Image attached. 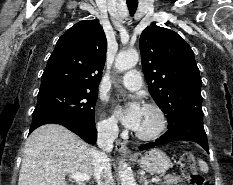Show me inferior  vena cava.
<instances>
[{
  "label": "inferior vena cava",
  "mask_w": 233,
  "mask_h": 185,
  "mask_svg": "<svg viewBox=\"0 0 233 185\" xmlns=\"http://www.w3.org/2000/svg\"><path fill=\"white\" fill-rule=\"evenodd\" d=\"M97 131V144L101 150L93 154L94 177L97 185H114L108 153L113 149V143L118 136V127L113 123L99 126Z\"/></svg>",
  "instance_id": "inferior-vena-cava-1"
}]
</instances>
